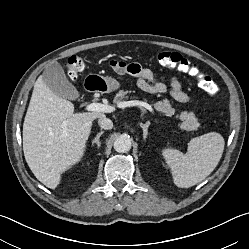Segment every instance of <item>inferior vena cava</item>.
Wrapping results in <instances>:
<instances>
[{
    "mask_svg": "<svg viewBox=\"0 0 249 249\" xmlns=\"http://www.w3.org/2000/svg\"><path fill=\"white\" fill-rule=\"evenodd\" d=\"M98 124L102 129L110 130L113 127V123L110 119L106 118L105 115L99 117Z\"/></svg>",
    "mask_w": 249,
    "mask_h": 249,
    "instance_id": "inferior-vena-cava-1",
    "label": "inferior vena cava"
}]
</instances>
